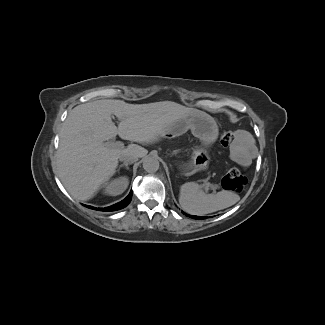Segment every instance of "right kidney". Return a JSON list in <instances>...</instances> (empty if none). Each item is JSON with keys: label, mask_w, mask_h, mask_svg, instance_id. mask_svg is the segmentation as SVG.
Returning a JSON list of instances; mask_svg holds the SVG:
<instances>
[{"label": "right kidney", "mask_w": 325, "mask_h": 325, "mask_svg": "<svg viewBox=\"0 0 325 325\" xmlns=\"http://www.w3.org/2000/svg\"><path fill=\"white\" fill-rule=\"evenodd\" d=\"M128 186L126 177H119L104 184V193L111 196L122 194Z\"/></svg>", "instance_id": "ca27d5eb"}]
</instances>
